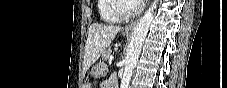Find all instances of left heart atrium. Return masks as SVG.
I'll list each match as a JSON object with an SVG mask.
<instances>
[{"instance_id":"1","label":"left heart atrium","mask_w":227,"mask_h":88,"mask_svg":"<svg viewBox=\"0 0 227 88\" xmlns=\"http://www.w3.org/2000/svg\"><path fill=\"white\" fill-rule=\"evenodd\" d=\"M133 3L135 6H141L144 3V1L143 0H133Z\"/></svg>"}]
</instances>
